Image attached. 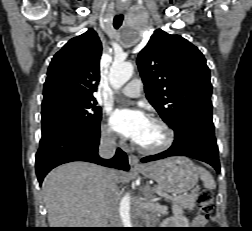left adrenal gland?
<instances>
[{
  "label": "left adrenal gland",
  "mask_w": 252,
  "mask_h": 231,
  "mask_svg": "<svg viewBox=\"0 0 252 231\" xmlns=\"http://www.w3.org/2000/svg\"><path fill=\"white\" fill-rule=\"evenodd\" d=\"M144 194L146 196L152 197L153 196V190L150 188L149 184H146L145 190H144Z\"/></svg>",
  "instance_id": "a2214340"
}]
</instances>
